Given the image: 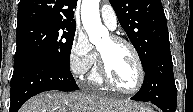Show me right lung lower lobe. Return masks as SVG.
I'll use <instances>...</instances> for the list:
<instances>
[{
    "label": "right lung lower lobe",
    "mask_w": 193,
    "mask_h": 112,
    "mask_svg": "<svg viewBox=\"0 0 193 112\" xmlns=\"http://www.w3.org/2000/svg\"><path fill=\"white\" fill-rule=\"evenodd\" d=\"M69 68L45 58L32 59L14 68L9 112H17L32 96L49 90H77Z\"/></svg>",
    "instance_id": "1"
}]
</instances>
